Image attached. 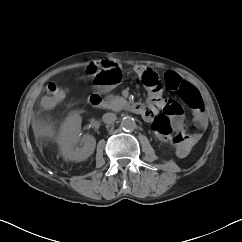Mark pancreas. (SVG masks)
Returning <instances> with one entry per match:
<instances>
[{
  "instance_id": "1",
  "label": "pancreas",
  "mask_w": 242,
  "mask_h": 242,
  "mask_svg": "<svg viewBox=\"0 0 242 242\" xmlns=\"http://www.w3.org/2000/svg\"><path fill=\"white\" fill-rule=\"evenodd\" d=\"M106 100L107 108L113 111H120L127 105V101L120 96L108 95Z\"/></svg>"
}]
</instances>
